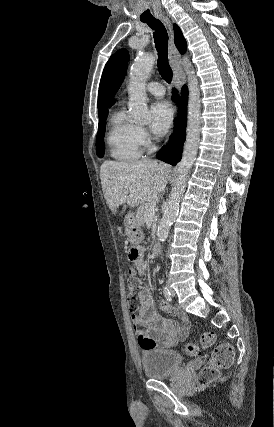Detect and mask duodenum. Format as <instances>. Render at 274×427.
Segmentation results:
<instances>
[{
	"label": "duodenum",
	"mask_w": 274,
	"mask_h": 427,
	"mask_svg": "<svg viewBox=\"0 0 274 427\" xmlns=\"http://www.w3.org/2000/svg\"><path fill=\"white\" fill-rule=\"evenodd\" d=\"M154 255H157L160 252V245H155L152 249Z\"/></svg>",
	"instance_id": "1"
}]
</instances>
